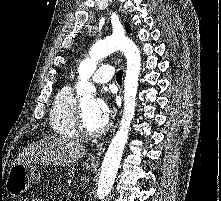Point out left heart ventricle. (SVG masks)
Returning <instances> with one entry per match:
<instances>
[{
	"label": "left heart ventricle",
	"instance_id": "obj_1",
	"mask_svg": "<svg viewBox=\"0 0 221 201\" xmlns=\"http://www.w3.org/2000/svg\"><path fill=\"white\" fill-rule=\"evenodd\" d=\"M84 112V120L87 128L91 131H97L105 125V122L97 115L95 111V99L89 98L81 102Z\"/></svg>",
	"mask_w": 221,
	"mask_h": 201
}]
</instances>
